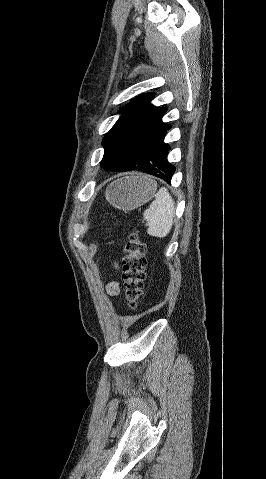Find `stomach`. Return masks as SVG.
Here are the masks:
<instances>
[{
    "label": "stomach",
    "mask_w": 266,
    "mask_h": 479,
    "mask_svg": "<svg viewBox=\"0 0 266 479\" xmlns=\"http://www.w3.org/2000/svg\"><path fill=\"white\" fill-rule=\"evenodd\" d=\"M156 182L143 174L117 179L106 190V199L115 208L133 210L148 202L155 194Z\"/></svg>",
    "instance_id": "0dacf381"
}]
</instances>
